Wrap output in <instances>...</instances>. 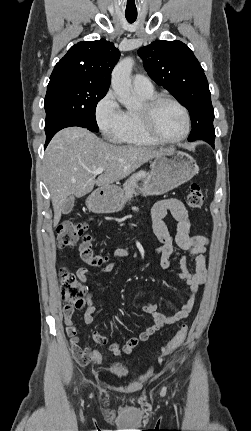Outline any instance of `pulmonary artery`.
<instances>
[{"mask_svg": "<svg viewBox=\"0 0 251 431\" xmlns=\"http://www.w3.org/2000/svg\"><path fill=\"white\" fill-rule=\"evenodd\" d=\"M133 87L137 92H142V93H150L154 90L150 79L142 74L134 75Z\"/></svg>", "mask_w": 251, "mask_h": 431, "instance_id": "pulmonary-artery-1", "label": "pulmonary artery"}]
</instances>
